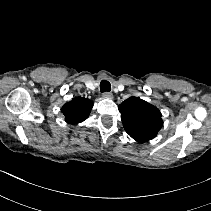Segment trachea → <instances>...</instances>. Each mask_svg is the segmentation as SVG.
I'll return each mask as SVG.
<instances>
[{"label": "trachea", "instance_id": "1", "mask_svg": "<svg viewBox=\"0 0 211 211\" xmlns=\"http://www.w3.org/2000/svg\"><path fill=\"white\" fill-rule=\"evenodd\" d=\"M111 90V84L107 80H102L100 82V91L101 92H109Z\"/></svg>", "mask_w": 211, "mask_h": 211}]
</instances>
